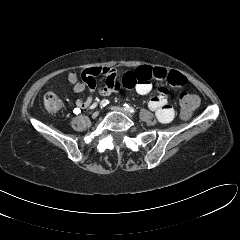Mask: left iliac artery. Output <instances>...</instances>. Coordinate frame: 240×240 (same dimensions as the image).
Listing matches in <instances>:
<instances>
[{"mask_svg":"<svg viewBox=\"0 0 240 240\" xmlns=\"http://www.w3.org/2000/svg\"><path fill=\"white\" fill-rule=\"evenodd\" d=\"M123 106H124L125 110H127L131 113H134L136 111L133 107L129 106L128 104H124Z\"/></svg>","mask_w":240,"mask_h":240,"instance_id":"1","label":"left iliac artery"}]
</instances>
